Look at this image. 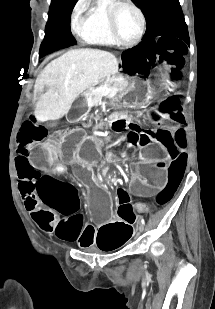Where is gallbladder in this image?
Listing matches in <instances>:
<instances>
[{
    "label": "gallbladder",
    "mask_w": 215,
    "mask_h": 309,
    "mask_svg": "<svg viewBox=\"0 0 215 309\" xmlns=\"http://www.w3.org/2000/svg\"><path fill=\"white\" fill-rule=\"evenodd\" d=\"M45 90H48V86H45Z\"/></svg>",
    "instance_id": "1"
}]
</instances>
